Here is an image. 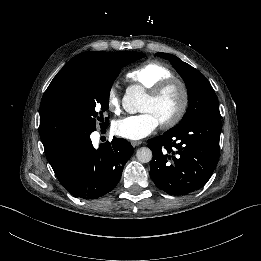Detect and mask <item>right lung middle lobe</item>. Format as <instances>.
<instances>
[{"mask_svg": "<svg viewBox=\"0 0 261 261\" xmlns=\"http://www.w3.org/2000/svg\"><path fill=\"white\" fill-rule=\"evenodd\" d=\"M145 55L125 52L115 64L91 68L79 73L73 81L71 92L77 111V126L74 134H91L96 130V120L103 121V112L109 107V93L114 80L123 66ZM108 119L101 127H107ZM45 151L51 149L59 139L53 134L40 132Z\"/></svg>", "mask_w": 261, "mask_h": 261, "instance_id": "obj_1", "label": "right lung middle lobe"}]
</instances>
